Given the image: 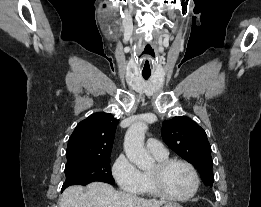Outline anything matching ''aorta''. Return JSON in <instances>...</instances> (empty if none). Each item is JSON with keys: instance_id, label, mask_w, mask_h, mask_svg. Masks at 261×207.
<instances>
[{"instance_id": "1", "label": "aorta", "mask_w": 261, "mask_h": 207, "mask_svg": "<svg viewBox=\"0 0 261 207\" xmlns=\"http://www.w3.org/2000/svg\"><path fill=\"white\" fill-rule=\"evenodd\" d=\"M148 126L143 122L132 124L124 138V151L128 159L139 169L147 170L154 165V160L144 147L145 133Z\"/></svg>"}]
</instances>
